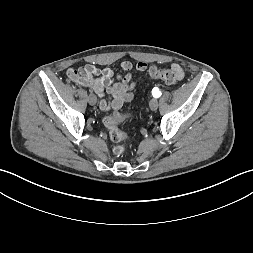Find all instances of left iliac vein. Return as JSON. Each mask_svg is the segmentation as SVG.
<instances>
[{
	"instance_id": "obj_1",
	"label": "left iliac vein",
	"mask_w": 253,
	"mask_h": 253,
	"mask_svg": "<svg viewBox=\"0 0 253 253\" xmlns=\"http://www.w3.org/2000/svg\"><path fill=\"white\" fill-rule=\"evenodd\" d=\"M149 107L151 110L155 111L158 108V100L156 98H153L149 102Z\"/></svg>"
}]
</instances>
